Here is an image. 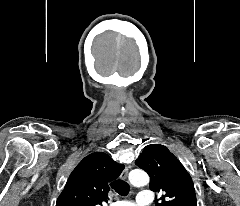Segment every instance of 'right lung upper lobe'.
Masks as SVG:
<instances>
[{"label":"right lung upper lobe","instance_id":"obj_1","mask_svg":"<svg viewBox=\"0 0 240 206\" xmlns=\"http://www.w3.org/2000/svg\"><path fill=\"white\" fill-rule=\"evenodd\" d=\"M103 152L86 156L71 173L56 206H97L107 201L109 182L124 169Z\"/></svg>","mask_w":240,"mask_h":206}]
</instances>
